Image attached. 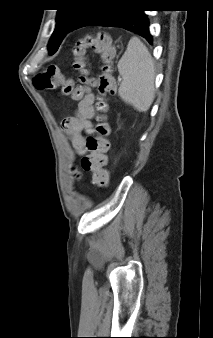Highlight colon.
<instances>
[{"label":"colon","instance_id":"colon-1","mask_svg":"<svg viewBox=\"0 0 213 338\" xmlns=\"http://www.w3.org/2000/svg\"><path fill=\"white\" fill-rule=\"evenodd\" d=\"M72 49L76 57L74 66L80 72V86H76L70 78L64 76L54 64L47 65L35 77L34 85L39 90L59 91L60 94L70 96L73 100L80 98L83 87H96L98 95L97 106L102 116L95 127L94 134L86 138L88 154L81 159V168L85 172L92 173L93 182L96 186L106 187L111 182V175L107 168V152L109 150L107 136L110 132V126L105 115L107 111L105 97L114 93L115 80L108 67H104L96 79L91 78L86 66V57L88 51L92 49L104 62L109 63L116 57L117 47L111 42L109 36L105 34H89L77 39ZM63 128L75 131L78 128V122L75 118H66L63 121Z\"/></svg>","mask_w":213,"mask_h":338}]
</instances>
